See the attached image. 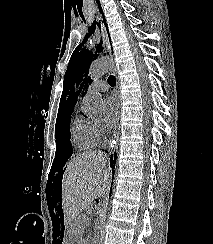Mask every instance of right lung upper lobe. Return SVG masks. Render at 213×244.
<instances>
[{
    "mask_svg": "<svg viewBox=\"0 0 213 244\" xmlns=\"http://www.w3.org/2000/svg\"><path fill=\"white\" fill-rule=\"evenodd\" d=\"M77 101V97L74 98L67 106L66 108H64L63 110L60 108V110L58 111V117L64 115L65 113L69 112V111H73L74 105L76 104Z\"/></svg>",
    "mask_w": 213,
    "mask_h": 244,
    "instance_id": "obj_1",
    "label": "right lung upper lobe"
}]
</instances>
